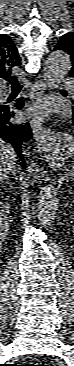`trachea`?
<instances>
[{
	"instance_id": "3493384b",
	"label": "trachea",
	"mask_w": 74,
	"mask_h": 366,
	"mask_svg": "<svg viewBox=\"0 0 74 366\" xmlns=\"http://www.w3.org/2000/svg\"><path fill=\"white\" fill-rule=\"evenodd\" d=\"M6 81L11 83L12 88H20L22 85L19 83L18 78L16 76H7L5 78Z\"/></svg>"
}]
</instances>
